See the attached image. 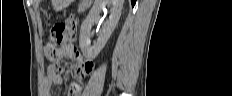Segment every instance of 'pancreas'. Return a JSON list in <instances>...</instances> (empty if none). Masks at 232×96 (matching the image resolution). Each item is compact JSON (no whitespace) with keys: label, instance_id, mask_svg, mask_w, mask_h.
Listing matches in <instances>:
<instances>
[{"label":"pancreas","instance_id":"cf45deb5","mask_svg":"<svg viewBox=\"0 0 232 96\" xmlns=\"http://www.w3.org/2000/svg\"><path fill=\"white\" fill-rule=\"evenodd\" d=\"M90 4H85V3H82V4H80L79 5V11L80 12H84L87 8H88V6H89Z\"/></svg>","mask_w":232,"mask_h":96}]
</instances>
